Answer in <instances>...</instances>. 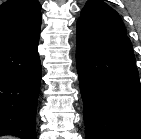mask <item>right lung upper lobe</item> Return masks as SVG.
<instances>
[{
  "mask_svg": "<svg viewBox=\"0 0 141 139\" xmlns=\"http://www.w3.org/2000/svg\"><path fill=\"white\" fill-rule=\"evenodd\" d=\"M40 28L38 0H8L0 5V47L29 39Z\"/></svg>",
  "mask_w": 141,
  "mask_h": 139,
  "instance_id": "cb5924a9",
  "label": "right lung upper lobe"
}]
</instances>
